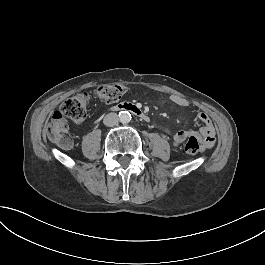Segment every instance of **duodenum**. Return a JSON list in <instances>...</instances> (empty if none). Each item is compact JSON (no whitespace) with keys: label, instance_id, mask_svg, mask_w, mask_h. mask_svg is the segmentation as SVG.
<instances>
[{"label":"duodenum","instance_id":"410a0bca","mask_svg":"<svg viewBox=\"0 0 265 265\" xmlns=\"http://www.w3.org/2000/svg\"><path fill=\"white\" fill-rule=\"evenodd\" d=\"M128 111L136 116H138L140 119L149 122L150 121V116L148 115L147 112H145L142 108L137 106L136 104L133 103H120L116 108L115 111Z\"/></svg>","mask_w":265,"mask_h":265}]
</instances>
